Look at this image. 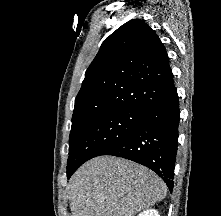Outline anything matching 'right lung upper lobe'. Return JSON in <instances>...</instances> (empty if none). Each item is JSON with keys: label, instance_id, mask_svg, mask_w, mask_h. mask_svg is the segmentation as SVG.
Segmentation results:
<instances>
[{"label": "right lung upper lobe", "instance_id": "cb5924a9", "mask_svg": "<svg viewBox=\"0 0 221 216\" xmlns=\"http://www.w3.org/2000/svg\"><path fill=\"white\" fill-rule=\"evenodd\" d=\"M173 83L158 35L144 21L130 20L103 42L88 67L72 125L114 110L144 111Z\"/></svg>", "mask_w": 221, "mask_h": 216}]
</instances>
